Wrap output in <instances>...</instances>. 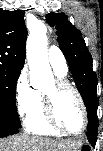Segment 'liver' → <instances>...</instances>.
<instances>
[{"instance_id":"liver-1","label":"liver","mask_w":103,"mask_h":151,"mask_svg":"<svg viewBox=\"0 0 103 151\" xmlns=\"http://www.w3.org/2000/svg\"><path fill=\"white\" fill-rule=\"evenodd\" d=\"M77 146H81V143L74 140H57L28 134H19L0 141V151H62Z\"/></svg>"}]
</instances>
